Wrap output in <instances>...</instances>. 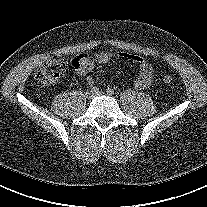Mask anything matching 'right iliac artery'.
<instances>
[{"label":"right iliac artery","mask_w":207,"mask_h":207,"mask_svg":"<svg viewBox=\"0 0 207 207\" xmlns=\"http://www.w3.org/2000/svg\"><path fill=\"white\" fill-rule=\"evenodd\" d=\"M98 91H99V88L96 86L92 87V89H91V92H93V93H98Z\"/></svg>","instance_id":"82829eb1"}]
</instances>
